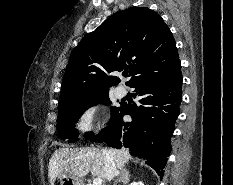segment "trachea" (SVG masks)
I'll return each instance as SVG.
<instances>
[{
    "instance_id": "1",
    "label": "trachea",
    "mask_w": 233,
    "mask_h": 185,
    "mask_svg": "<svg viewBox=\"0 0 233 185\" xmlns=\"http://www.w3.org/2000/svg\"><path fill=\"white\" fill-rule=\"evenodd\" d=\"M128 73L127 72H124L123 73V76L127 77Z\"/></svg>"
}]
</instances>
